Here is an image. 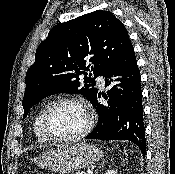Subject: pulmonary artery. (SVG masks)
I'll return each mask as SVG.
<instances>
[{
    "label": "pulmonary artery",
    "mask_w": 175,
    "mask_h": 174,
    "mask_svg": "<svg viewBox=\"0 0 175 174\" xmlns=\"http://www.w3.org/2000/svg\"><path fill=\"white\" fill-rule=\"evenodd\" d=\"M98 82L101 87H104V78L103 77H98Z\"/></svg>",
    "instance_id": "e3ab8cb5"
}]
</instances>
